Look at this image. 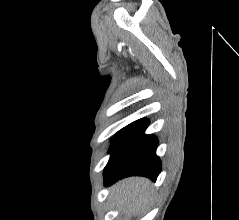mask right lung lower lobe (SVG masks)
<instances>
[{"instance_id":"1","label":"right lung lower lobe","mask_w":239,"mask_h":220,"mask_svg":"<svg viewBox=\"0 0 239 220\" xmlns=\"http://www.w3.org/2000/svg\"><path fill=\"white\" fill-rule=\"evenodd\" d=\"M146 119L137 120L120 130L112 140L111 157L104 170V184L111 185L128 176L156 180L161 162L156 155L158 140L146 135Z\"/></svg>"}]
</instances>
